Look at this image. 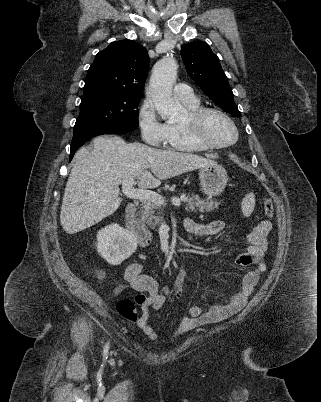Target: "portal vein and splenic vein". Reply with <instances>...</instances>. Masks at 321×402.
I'll list each match as a JSON object with an SVG mask.
<instances>
[{"label": "portal vein and splenic vein", "instance_id": "18ae733b", "mask_svg": "<svg viewBox=\"0 0 321 402\" xmlns=\"http://www.w3.org/2000/svg\"><path fill=\"white\" fill-rule=\"evenodd\" d=\"M135 184V181L133 179H128V180H123L122 182V191L123 193L132 199H139V200H149L152 202H155L160 205H165L166 200L159 194H157L154 191L151 190H146V189H135L133 185ZM180 198L174 197L171 199V202L174 205H180L181 204Z\"/></svg>", "mask_w": 321, "mask_h": 402}]
</instances>
